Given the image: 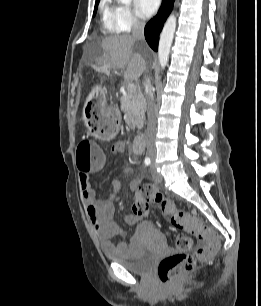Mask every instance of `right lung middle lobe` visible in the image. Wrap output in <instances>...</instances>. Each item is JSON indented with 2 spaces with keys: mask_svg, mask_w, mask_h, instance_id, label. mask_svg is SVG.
<instances>
[{
  "mask_svg": "<svg viewBox=\"0 0 261 306\" xmlns=\"http://www.w3.org/2000/svg\"><path fill=\"white\" fill-rule=\"evenodd\" d=\"M98 3H99V0L96 1L95 8H94V15L96 14Z\"/></svg>",
  "mask_w": 261,
  "mask_h": 306,
  "instance_id": "1",
  "label": "right lung middle lobe"
}]
</instances>
